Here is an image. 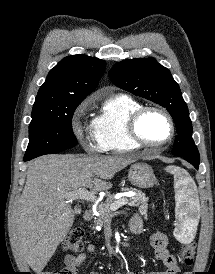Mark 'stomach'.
<instances>
[{
	"mask_svg": "<svg viewBox=\"0 0 215 274\" xmlns=\"http://www.w3.org/2000/svg\"><path fill=\"white\" fill-rule=\"evenodd\" d=\"M128 179L132 184L143 189L151 188L156 184L153 169L151 166L143 162L131 165Z\"/></svg>",
	"mask_w": 215,
	"mask_h": 274,
	"instance_id": "1",
	"label": "stomach"
}]
</instances>
